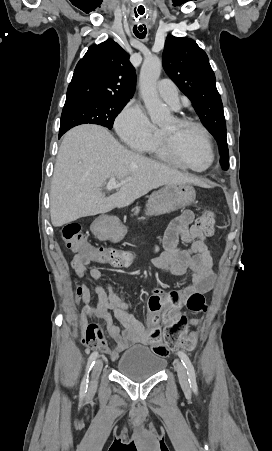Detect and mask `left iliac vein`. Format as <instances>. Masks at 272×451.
I'll return each mask as SVG.
<instances>
[{"mask_svg":"<svg viewBox=\"0 0 272 451\" xmlns=\"http://www.w3.org/2000/svg\"><path fill=\"white\" fill-rule=\"evenodd\" d=\"M175 369L177 371L178 378H179V381H180L182 387L186 391H189V382H188V377H187V374H186V370H185L183 364L180 361H176L175 362Z\"/></svg>","mask_w":272,"mask_h":451,"instance_id":"left-iliac-vein-1","label":"left iliac vein"}]
</instances>
